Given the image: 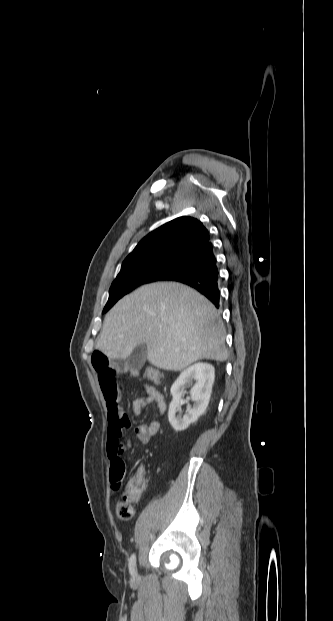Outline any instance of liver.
Listing matches in <instances>:
<instances>
[{"mask_svg":"<svg viewBox=\"0 0 333 621\" xmlns=\"http://www.w3.org/2000/svg\"><path fill=\"white\" fill-rule=\"evenodd\" d=\"M154 366L181 371L200 359L225 361V330L213 304L176 282L145 285L106 315L96 349L126 359L140 344Z\"/></svg>","mask_w":333,"mask_h":621,"instance_id":"liver-1","label":"liver"}]
</instances>
